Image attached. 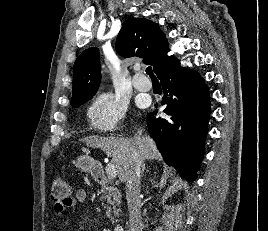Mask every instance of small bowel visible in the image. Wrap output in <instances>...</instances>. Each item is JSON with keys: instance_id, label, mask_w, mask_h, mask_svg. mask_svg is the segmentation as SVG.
Segmentation results:
<instances>
[{"instance_id": "1", "label": "small bowel", "mask_w": 268, "mask_h": 231, "mask_svg": "<svg viewBox=\"0 0 268 231\" xmlns=\"http://www.w3.org/2000/svg\"><path fill=\"white\" fill-rule=\"evenodd\" d=\"M87 193L85 189L79 188L74 192V196L71 198V201L66 206L56 204L54 206L55 212L61 214L65 209L72 208L75 204H81L86 201Z\"/></svg>"}]
</instances>
